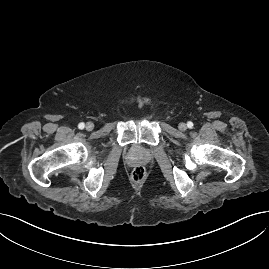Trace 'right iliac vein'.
Returning <instances> with one entry per match:
<instances>
[{
	"instance_id": "right-iliac-vein-1",
	"label": "right iliac vein",
	"mask_w": 269,
	"mask_h": 269,
	"mask_svg": "<svg viewBox=\"0 0 269 269\" xmlns=\"http://www.w3.org/2000/svg\"><path fill=\"white\" fill-rule=\"evenodd\" d=\"M85 128L87 131H91L94 128V124L92 122H87Z\"/></svg>"
}]
</instances>
